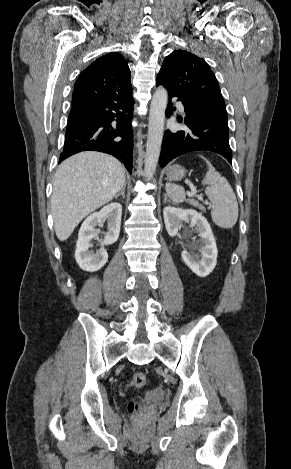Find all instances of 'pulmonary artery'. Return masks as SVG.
Masks as SVG:
<instances>
[{
	"instance_id": "e3ab8cb5",
	"label": "pulmonary artery",
	"mask_w": 291,
	"mask_h": 469,
	"mask_svg": "<svg viewBox=\"0 0 291 469\" xmlns=\"http://www.w3.org/2000/svg\"><path fill=\"white\" fill-rule=\"evenodd\" d=\"M177 107L179 108L180 111H184V106L181 102H177Z\"/></svg>"
}]
</instances>
